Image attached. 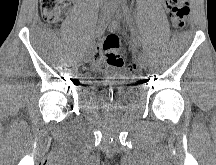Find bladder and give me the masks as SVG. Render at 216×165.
Returning <instances> with one entry per match:
<instances>
[{"label": "bladder", "instance_id": "31cf9c89", "mask_svg": "<svg viewBox=\"0 0 216 165\" xmlns=\"http://www.w3.org/2000/svg\"><path fill=\"white\" fill-rule=\"evenodd\" d=\"M132 76H124L120 73H114L112 76H90L88 86L91 89H83V94H94V102L99 103H125L133 98L136 90L128 88L134 86Z\"/></svg>", "mask_w": 216, "mask_h": 165}]
</instances>
